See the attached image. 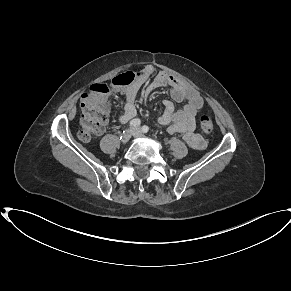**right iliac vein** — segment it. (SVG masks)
<instances>
[{
	"label": "right iliac vein",
	"mask_w": 291,
	"mask_h": 291,
	"mask_svg": "<svg viewBox=\"0 0 291 291\" xmlns=\"http://www.w3.org/2000/svg\"><path fill=\"white\" fill-rule=\"evenodd\" d=\"M133 135H134V129L126 130L121 137L122 143L126 144Z\"/></svg>",
	"instance_id": "right-iliac-vein-1"
}]
</instances>
